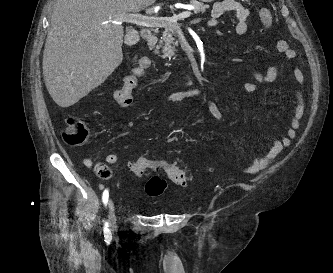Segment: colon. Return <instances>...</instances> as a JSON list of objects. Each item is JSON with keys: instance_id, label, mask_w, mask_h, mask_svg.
<instances>
[{"instance_id": "1", "label": "colon", "mask_w": 333, "mask_h": 273, "mask_svg": "<svg viewBox=\"0 0 333 273\" xmlns=\"http://www.w3.org/2000/svg\"><path fill=\"white\" fill-rule=\"evenodd\" d=\"M259 20L266 30L272 25V13L269 9H261L259 11ZM137 65L147 64L145 56L136 57ZM62 138L64 142L70 146H83L90 142L92 138L91 131L77 117L69 116L62 130ZM163 169L167 177L178 185H186L189 177L186 171L172 165L140 157L130 164L131 172L136 176H141L147 171H158ZM96 174L102 179H108L111 176L110 168L104 163H98L95 166ZM166 187V182L161 176H153L146 183L145 190L149 196H158L163 193Z\"/></svg>"}]
</instances>
